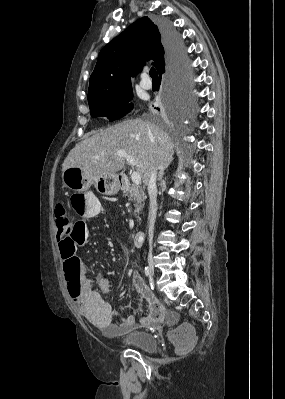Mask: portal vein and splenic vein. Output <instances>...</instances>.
Masks as SVG:
<instances>
[{"label": "portal vein and splenic vein", "instance_id": "portal-vein-and-splenic-vein-1", "mask_svg": "<svg viewBox=\"0 0 285 399\" xmlns=\"http://www.w3.org/2000/svg\"><path fill=\"white\" fill-rule=\"evenodd\" d=\"M117 156L119 157H124L127 161V163L131 166H135V160L128 155L125 151H117ZM131 179L134 185H140L141 184V177L139 175V173L137 171H133L132 175H131Z\"/></svg>", "mask_w": 285, "mask_h": 399}]
</instances>
